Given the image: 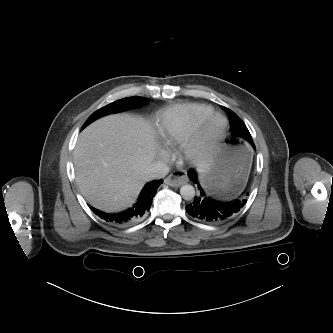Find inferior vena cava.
I'll return each instance as SVG.
<instances>
[{
	"label": "inferior vena cava",
	"instance_id": "inferior-vena-cava-1",
	"mask_svg": "<svg viewBox=\"0 0 333 333\" xmlns=\"http://www.w3.org/2000/svg\"><path fill=\"white\" fill-rule=\"evenodd\" d=\"M169 167L163 162H153L151 163L145 171L144 179L153 180L164 178L169 173Z\"/></svg>",
	"mask_w": 333,
	"mask_h": 333
}]
</instances>
